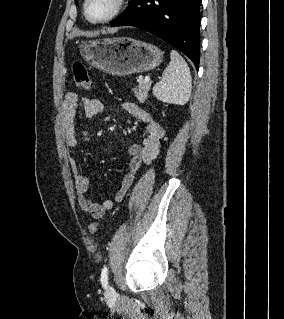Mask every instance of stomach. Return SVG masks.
Returning a JSON list of instances; mask_svg holds the SVG:
<instances>
[{
    "label": "stomach",
    "instance_id": "1",
    "mask_svg": "<svg viewBox=\"0 0 284 319\" xmlns=\"http://www.w3.org/2000/svg\"><path fill=\"white\" fill-rule=\"evenodd\" d=\"M80 54L92 66L116 76L153 70L163 57L158 47L129 37L82 42Z\"/></svg>",
    "mask_w": 284,
    "mask_h": 319
}]
</instances>
